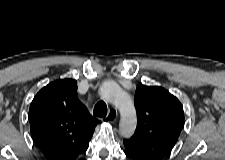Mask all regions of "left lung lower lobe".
<instances>
[{"label":"left lung lower lobe","instance_id":"1","mask_svg":"<svg viewBox=\"0 0 225 160\" xmlns=\"http://www.w3.org/2000/svg\"><path fill=\"white\" fill-rule=\"evenodd\" d=\"M124 153H125V155H126V157H127V159L128 160H146V159H144V158H142V157H140V156H138V155H136V154H134V153H132L128 148H124Z\"/></svg>","mask_w":225,"mask_h":160}]
</instances>
